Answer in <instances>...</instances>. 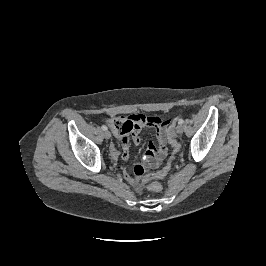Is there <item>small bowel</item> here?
Instances as JSON below:
<instances>
[{
    "mask_svg": "<svg viewBox=\"0 0 266 266\" xmlns=\"http://www.w3.org/2000/svg\"><path fill=\"white\" fill-rule=\"evenodd\" d=\"M108 124L114 135L121 141L123 161H127L129 158V136L132 137L136 145H139L141 143L139 135L141 127L147 126L156 129L157 142L147 144L141 163L134 167L132 174H129L126 170L123 171L124 178L137 191H140L142 189L140 179L143 173L146 170L158 167L167 154V129L172 125V120L133 114L109 119ZM114 154L116 155V152Z\"/></svg>",
    "mask_w": 266,
    "mask_h": 266,
    "instance_id": "small-bowel-1",
    "label": "small bowel"
}]
</instances>
